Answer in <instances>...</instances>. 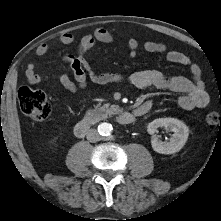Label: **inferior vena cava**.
<instances>
[{
	"mask_svg": "<svg viewBox=\"0 0 221 221\" xmlns=\"http://www.w3.org/2000/svg\"><path fill=\"white\" fill-rule=\"evenodd\" d=\"M87 140L92 142V143H95V142L100 140V135H99V133L97 132L96 129H90L87 132Z\"/></svg>",
	"mask_w": 221,
	"mask_h": 221,
	"instance_id": "inferior-vena-cava-1",
	"label": "inferior vena cava"
}]
</instances>
